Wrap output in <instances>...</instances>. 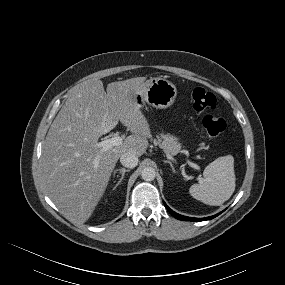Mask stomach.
I'll list each match as a JSON object with an SVG mask.
<instances>
[{"label":"stomach","mask_w":285,"mask_h":285,"mask_svg":"<svg viewBox=\"0 0 285 285\" xmlns=\"http://www.w3.org/2000/svg\"><path fill=\"white\" fill-rule=\"evenodd\" d=\"M176 96L177 89L172 82L155 77L145 82L136 100L140 106L147 103L157 109H165L174 103Z\"/></svg>","instance_id":"0dacf381"}]
</instances>
